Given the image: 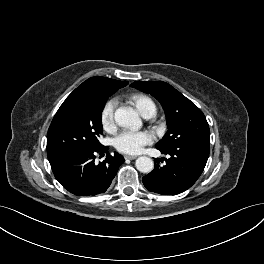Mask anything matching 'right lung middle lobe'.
Returning a JSON list of instances; mask_svg holds the SVG:
<instances>
[{"label": "right lung middle lobe", "mask_w": 264, "mask_h": 264, "mask_svg": "<svg viewBox=\"0 0 264 264\" xmlns=\"http://www.w3.org/2000/svg\"><path fill=\"white\" fill-rule=\"evenodd\" d=\"M108 96L72 92L55 114L47 134L48 159L72 149L103 147L101 113Z\"/></svg>", "instance_id": "1"}]
</instances>
